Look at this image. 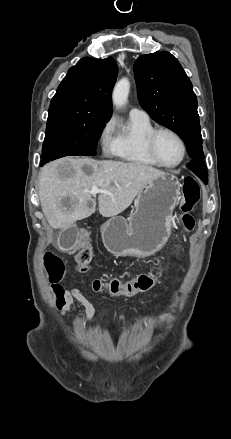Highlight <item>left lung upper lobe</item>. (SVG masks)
I'll return each instance as SVG.
<instances>
[{
  "label": "left lung upper lobe",
  "instance_id": "5c2ea615",
  "mask_svg": "<svg viewBox=\"0 0 231 439\" xmlns=\"http://www.w3.org/2000/svg\"><path fill=\"white\" fill-rule=\"evenodd\" d=\"M134 75L142 108L184 140L192 158L188 169L207 183L197 99L179 61L165 51L143 55L134 64Z\"/></svg>",
  "mask_w": 231,
  "mask_h": 439
}]
</instances>
